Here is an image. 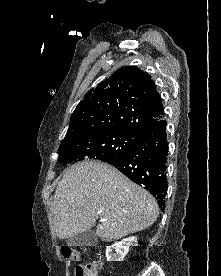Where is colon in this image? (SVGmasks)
Returning <instances> with one entry per match:
<instances>
[{
	"label": "colon",
	"mask_w": 221,
	"mask_h": 276,
	"mask_svg": "<svg viewBox=\"0 0 221 276\" xmlns=\"http://www.w3.org/2000/svg\"><path fill=\"white\" fill-rule=\"evenodd\" d=\"M61 252L66 261L77 262L80 259L79 252L70 247H63ZM102 268L103 266L100 262H93L85 267L77 266L75 276H99Z\"/></svg>",
	"instance_id": "1"
}]
</instances>
